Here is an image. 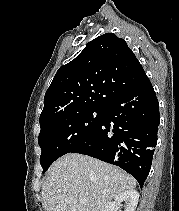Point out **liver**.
<instances>
[{"instance_id": "liver-1", "label": "liver", "mask_w": 179, "mask_h": 211, "mask_svg": "<svg viewBox=\"0 0 179 211\" xmlns=\"http://www.w3.org/2000/svg\"><path fill=\"white\" fill-rule=\"evenodd\" d=\"M136 184L120 168L69 153L50 166L42 185V199L45 211H103L115 196ZM80 199H86V203Z\"/></svg>"}]
</instances>
